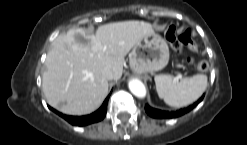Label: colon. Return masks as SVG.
<instances>
[{
  "instance_id": "obj_1",
  "label": "colon",
  "mask_w": 247,
  "mask_h": 145,
  "mask_svg": "<svg viewBox=\"0 0 247 145\" xmlns=\"http://www.w3.org/2000/svg\"><path fill=\"white\" fill-rule=\"evenodd\" d=\"M165 37L167 40H169L174 49L178 53H184L186 50L197 52L198 48L197 45L194 43L191 32L189 30L184 31L180 35H176V30L174 27H170L166 33ZM186 60L190 64H195L196 69L201 72H205L208 70V63L205 61H198L195 62L194 57L192 56H186Z\"/></svg>"
}]
</instances>
